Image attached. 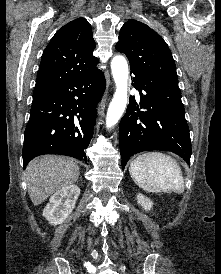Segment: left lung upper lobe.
Returning a JSON list of instances; mask_svg holds the SVG:
<instances>
[{"instance_id":"left-lung-upper-lobe-1","label":"left lung upper lobe","mask_w":221,"mask_h":274,"mask_svg":"<svg viewBox=\"0 0 221 274\" xmlns=\"http://www.w3.org/2000/svg\"><path fill=\"white\" fill-rule=\"evenodd\" d=\"M116 50L124 53L130 68L141 70L176 88V65L166 42L153 29L137 20L127 21L121 28Z\"/></svg>"}]
</instances>
